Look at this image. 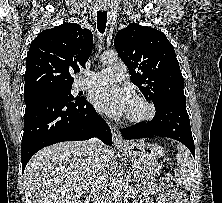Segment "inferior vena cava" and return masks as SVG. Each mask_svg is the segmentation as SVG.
I'll use <instances>...</instances> for the list:
<instances>
[{"label":"inferior vena cava","mask_w":222,"mask_h":203,"mask_svg":"<svg viewBox=\"0 0 222 203\" xmlns=\"http://www.w3.org/2000/svg\"><path fill=\"white\" fill-rule=\"evenodd\" d=\"M100 141L92 138L85 142L86 154L95 164V171L89 181L90 196L94 203H104V194L107 186V169L100 156Z\"/></svg>","instance_id":"obj_1"}]
</instances>
